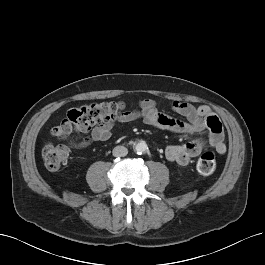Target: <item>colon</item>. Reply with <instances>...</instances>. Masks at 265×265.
Returning <instances> with one entry per match:
<instances>
[{"label": "colon", "mask_w": 265, "mask_h": 265, "mask_svg": "<svg viewBox=\"0 0 265 265\" xmlns=\"http://www.w3.org/2000/svg\"><path fill=\"white\" fill-rule=\"evenodd\" d=\"M125 114V104L121 102H96L70 109L62 121L50 131L53 137L71 140L73 134L87 133L92 126L100 122H116ZM208 125L215 135L221 134V123L216 116H210ZM82 141V140H81ZM69 148L65 145L47 144L42 150L44 164L49 170H58L69 157ZM197 169L204 176L211 175L216 169V157L212 152L203 153L197 160Z\"/></svg>", "instance_id": "5ec220e1"}]
</instances>
